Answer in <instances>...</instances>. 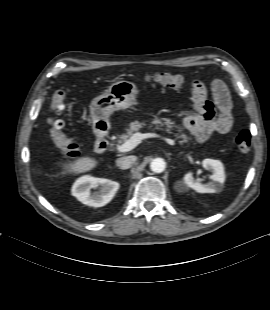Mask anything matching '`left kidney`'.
<instances>
[{"label": "left kidney", "mask_w": 270, "mask_h": 310, "mask_svg": "<svg viewBox=\"0 0 270 310\" xmlns=\"http://www.w3.org/2000/svg\"><path fill=\"white\" fill-rule=\"evenodd\" d=\"M202 166L211 172L210 182L202 184L193 177L192 172L184 175L183 181L185 185L198 193H218L223 189L225 181V172L223 164L219 160L204 159Z\"/></svg>", "instance_id": "5707ae66"}]
</instances>
